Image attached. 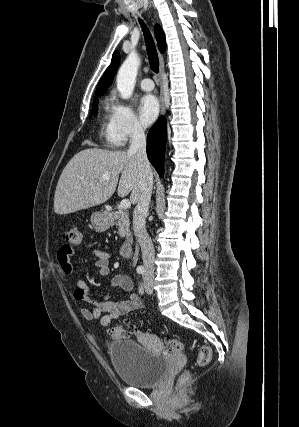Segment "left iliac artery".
I'll return each instance as SVG.
<instances>
[{"label":"left iliac artery","instance_id":"left-iliac-artery-1","mask_svg":"<svg viewBox=\"0 0 299 427\" xmlns=\"http://www.w3.org/2000/svg\"><path fill=\"white\" fill-rule=\"evenodd\" d=\"M139 292H140V293H142V292H143V286H142V284L140 285Z\"/></svg>","mask_w":299,"mask_h":427}]
</instances>
